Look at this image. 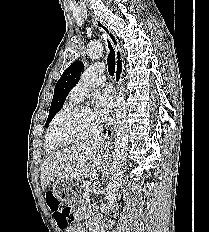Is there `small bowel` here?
<instances>
[{"label":"small bowel","instance_id":"c3829d8e","mask_svg":"<svg viewBox=\"0 0 209 232\" xmlns=\"http://www.w3.org/2000/svg\"><path fill=\"white\" fill-rule=\"evenodd\" d=\"M78 215L79 216L87 215V216L93 217V218L95 217V214L92 211H89V212L80 211ZM62 229L64 230V232H81L80 228H78V227H66V228H62Z\"/></svg>","mask_w":209,"mask_h":232}]
</instances>
